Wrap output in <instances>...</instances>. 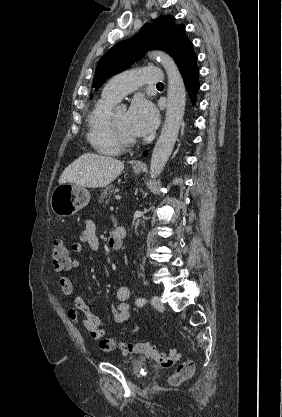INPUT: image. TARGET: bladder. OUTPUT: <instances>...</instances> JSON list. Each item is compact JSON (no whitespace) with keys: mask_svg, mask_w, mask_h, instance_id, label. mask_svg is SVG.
Returning a JSON list of instances; mask_svg holds the SVG:
<instances>
[{"mask_svg":"<svg viewBox=\"0 0 282 417\" xmlns=\"http://www.w3.org/2000/svg\"><path fill=\"white\" fill-rule=\"evenodd\" d=\"M125 367L135 377H142L147 373V365L142 360L133 359L126 361Z\"/></svg>","mask_w":282,"mask_h":417,"instance_id":"obj_1","label":"bladder"}]
</instances>
